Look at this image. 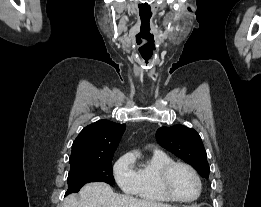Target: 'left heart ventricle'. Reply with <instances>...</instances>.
Instances as JSON below:
<instances>
[{"instance_id": "1", "label": "left heart ventricle", "mask_w": 261, "mask_h": 207, "mask_svg": "<svg viewBox=\"0 0 261 207\" xmlns=\"http://www.w3.org/2000/svg\"><path fill=\"white\" fill-rule=\"evenodd\" d=\"M173 193L182 199L193 198L197 193V183L193 175L184 167H176L170 176Z\"/></svg>"}]
</instances>
